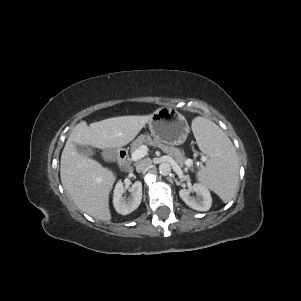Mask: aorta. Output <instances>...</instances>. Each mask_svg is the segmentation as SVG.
I'll return each mask as SVG.
<instances>
[{
  "instance_id": "aorta-1",
  "label": "aorta",
  "mask_w": 301,
  "mask_h": 301,
  "mask_svg": "<svg viewBox=\"0 0 301 301\" xmlns=\"http://www.w3.org/2000/svg\"><path fill=\"white\" fill-rule=\"evenodd\" d=\"M159 173L163 176H167L171 173V166L167 162H163L159 165Z\"/></svg>"
}]
</instances>
